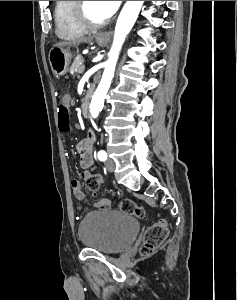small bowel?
I'll return each mask as SVG.
<instances>
[{
    "mask_svg": "<svg viewBox=\"0 0 237 300\" xmlns=\"http://www.w3.org/2000/svg\"><path fill=\"white\" fill-rule=\"evenodd\" d=\"M61 102H64L69 106L70 96L65 95L62 98ZM95 142H96V133L93 130H89L87 136L82 140H80L76 145V152L79 154V162L84 169L90 168L93 164L92 151ZM72 190L76 195V197L79 200H82V194H81L79 182L77 181L72 182ZM95 206L97 208H108L110 207V201L108 199H101L95 204Z\"/></svg>",
    "mask_w": 237,
    "mask_h": 300,
    "instance_id": "obj_1",
    "label": "small bowel"
}]
</instances>
